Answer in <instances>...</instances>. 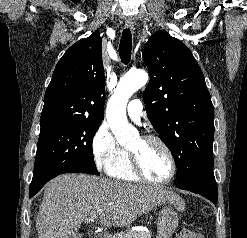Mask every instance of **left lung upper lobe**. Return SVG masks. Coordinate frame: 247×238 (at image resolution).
<instances>
[{"instance_id": "5c2ea615", "label": "left lung upper lobe", "mask_w": 247, "mask_h": 238, "mask_svg": "<svg viewBox=\"0 0 247 238\" xmlns=\"http://www.w3.org/2000/svg\"><path fill=\"white\" fill-rule=\"evenodd\" d=\"M143 59L150 73L144 92L146 112L177 166V185L213 171L214 109L204 75L180 40L158 31L147 41Z\"/></svg>"}]
</instances>
